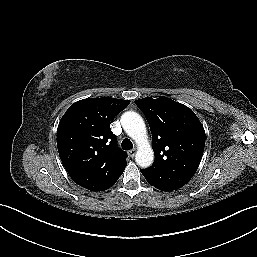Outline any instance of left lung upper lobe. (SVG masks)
<instances>
[{
	"label": "left lung upper lobe",
	"mask_w": 257,
	"mask_h": 257,
	"mask_svg": "<svg viewBox=\"0 0 257 257\" xmlns=\"http://www.w3.org/2000/svg\"><path fill=\"white\" fill-rule=\"evenodd\" d=\"M152 133L155 160L151 170L168 169L192 178L201 162L205 131L195 113L167 97L139 99Z\"/></svg>",
	"instance_id": "1"
}]
</instances>
